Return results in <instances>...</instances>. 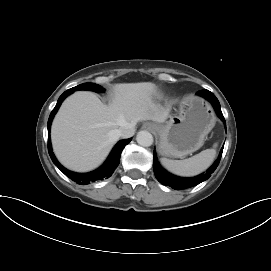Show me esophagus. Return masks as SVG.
<instances>
[{
    "label": "esophagus",
    "mask_w": 271,
    "mask_h": 271,
    "mask_svg": "<svg viewBox=\"0 0 271 271\" xmlns=\"http://www.w3.org/2000/svg\"><path fill=\"white\" fill-rule=\"evenodd\" d=\"M143 127H144L145 129L151 130V131L155 129V126H154V124H152V123H145V124L143 125Z\"/></svg>",
    "instance_id": "esophagus-1"
}]
</instances>
